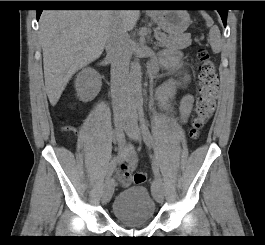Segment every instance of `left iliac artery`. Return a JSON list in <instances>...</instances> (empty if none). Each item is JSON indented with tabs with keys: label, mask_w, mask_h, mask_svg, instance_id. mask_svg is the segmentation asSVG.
<instances>
[{
	"label": "left iliac artery",
	"mask_w": 265,
	"mask_h": 245,
	"mask_svg": "<svg viewBox=\"0 0 265 245\" xmlns=\"http://www.w3.org/2000/svg\"><path fill=\"white\" fill-rule=\"evenodd\" d=\"M138 119H139V122H140V128H141V132H142V135L144 137V142L150 147V148H154V140L150 134V131L147 127V124H146V119H145V116H144V111H143V107L142 105H138ZM152 169H153V172H154V176H155V181L159 184V185H162V178H161V175H160V172H159V168H158V163L156 161V159H153V162H152ZM155 181H152L151 185H152V190L154 189V183Z\"/></svg>",
	"instance_id": "44dca946"
}]
</instances>
